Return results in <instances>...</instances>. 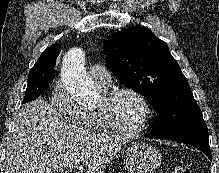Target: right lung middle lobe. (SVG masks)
Listing matches in <instances>:
<instances>
[{
    "label": "right lung middle lobe",
    "instance_id": "1",
    "mask_svg": "<svg viewBox=\"0 0 219 173\" xmlns=\"http://www.w3.org/2000/svg\"><path fill=\"white\" fill-rule=\"evenodd\" d=\"M54 77L55 75L46 74L42 70L31 69L28 75L27 89L23 103L39 97Z\"/></svg>",
    "mask_w": 219,
    "mask_h": 173
}]
</instances>
